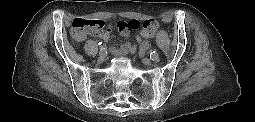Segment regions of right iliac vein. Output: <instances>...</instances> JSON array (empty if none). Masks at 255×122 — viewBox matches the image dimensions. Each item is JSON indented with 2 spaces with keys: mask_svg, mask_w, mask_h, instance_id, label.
Listing matches in <instances>:
<instances>
[{
  "mask_svg": "<svg viewBox=\"0 0 255 122\" xmlns=\"http://www.w3.org/2000/svg\"><path fill=\"white\" fill-rule=\"evenodd\" d=\"M105 56H106L105 52L100 51L99 56H98V62L102 63L105 60Z\"/></svg>",
  "mask_w": 255,
  "mask_h": 122,
  "instance_id": "obj_1",
  "label": "right iliac vein"
}]
</instances>
